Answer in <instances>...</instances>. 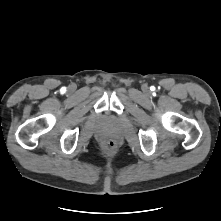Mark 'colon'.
<instances>
[{"instance_id":"obj_1","label":"colon","mask_w":221,"mask_h":221,"mask_svg":"<svg viewBox=\"0 0 221 221\" xmlns=\"http://www.w3.org/2000/svg\"><path fill=\"white\" fill-rule=\"evenodd\" d=\"M103 151L108 155H113L117 151V143L113 139H106L102 144Z\"/></svg>"}]
</instances>
